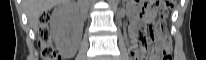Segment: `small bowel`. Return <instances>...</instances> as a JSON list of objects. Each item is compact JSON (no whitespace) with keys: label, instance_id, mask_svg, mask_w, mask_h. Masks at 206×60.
<instances>
[{"label":"small bowel","instance_id":"small-bowel-1","mask_svg":"<svg viewBox=\"0 0 206 60\" xmlns=\"http://www.w3.org/2000/svg\"><path fill=\"white\" fill-rule=\"evenodd\" d=\"M130 53L133 59L138 55V47L133 40L131 41Z\"/></svg>","mask_w":206,"mask_h":60}]
</instances>
